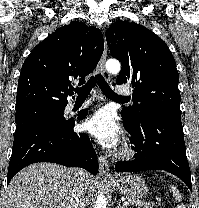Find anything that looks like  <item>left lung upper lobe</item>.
<instances>
[{
    "label": "left lung upper lobe",
    "instance_id": "1",
    "mask_svg": "<svg viewBox=\"0 0 199 208\" xmlns=\"http://www.w3.org/2000/svg\"><path fill=\"white\" fill-rule=\"evenodd\" d=\"M105 35L112 56L122 64L116 83H132L135 103L122 109V117L136 126L149 114H181L179 75L165 42L127 21L113 23Z\"/></svg>",
    "mask_w": 199,
    "mask_h": 208
}]
</instances>
